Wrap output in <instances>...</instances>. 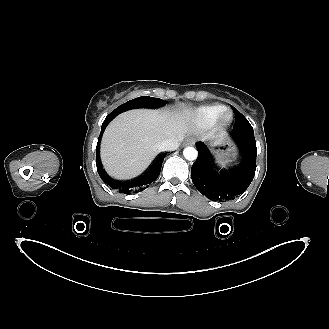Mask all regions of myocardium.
<instances>
[{"instance_id":"f54148a6","label":"myocardium","mask_w":329,"mask_h":329,"mask_svg":"<svg viewBox=\"0 0 329 329\" xmlns=\"http://www.w3.org/2000/svg\"><path fill=\"white\" fill-rule=\"evenodd\" d=\"M233 121V113L229 110H224L219 117L217 122L220 126H229Z\"/></svg>"}]
</instances>
